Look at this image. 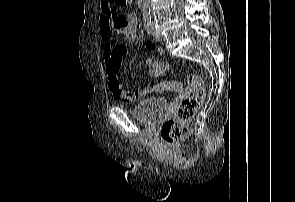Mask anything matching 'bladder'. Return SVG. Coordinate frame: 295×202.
<instances>
[{
  "instance_id": "bladder-1",
  "label": "bladder",
  "mask_w": 295,
  "mask_h": 202,
  "mask_svg": "<svg viewBox=\"0 0 295 202\" xmlns=\"http://www.w3.org/2000/svg\"><path fill=\"white\" fill-rule=\"evenodd\" d=\"M167 108V101L163 97H150L137 103L130 112L137 121L151 125L166 114Z\"/></svg>"
}]
</instances>
